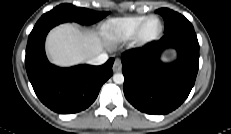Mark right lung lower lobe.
Masks as SVG:
<instances>
[{"mask_svg": "<svg viewBox=\"0 0 231 134\" xmlns=\"http://www.w3.org/2000/svg\"><path fill=\"white\" fill-rule=\"evenodd\" d=\"M60 21L38 23L29 35L25 66L33 89L51 110L72 114L88 108L101 86L112 76L113 58L102 66L59 68L50 64L44 51L47 33Z\"/></svg>", "mask_w": 231, "mask_h": 134, "instance_id": "1", "label": "right lung lower lobe"}]
</instances>
